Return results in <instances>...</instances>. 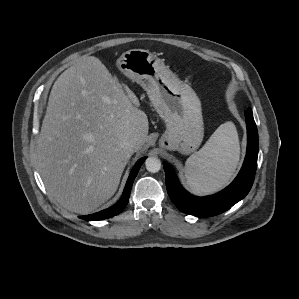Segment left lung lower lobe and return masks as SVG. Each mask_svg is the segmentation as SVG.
I'll list each match as a JSON object with an SVG mask.
<instances>
[{
  "label": "left lung lower lobe",
  "mask_w": 299,
  "mask_h": 299,
  "mask_svg": "<svg viewBox=\"0 0 299 299\" xmlns=\"http://www.w3.org/2000/svg\"><path fill=\"white\" fill-rule=\"evenodd\" d=\"M245 119L248 141L246 157L239 174L224 190L205 197L193 196L180 185L170 166H164L167 192L180 211L200 217L215 216L227 211L248 194L257 168L258 132L250 108L245 111Z\"/></svg>",
  "instance_id": "0a47b994"
}]
</instances>
